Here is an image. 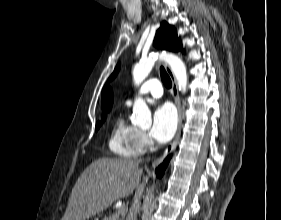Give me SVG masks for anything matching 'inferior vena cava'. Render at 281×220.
Segmentation results:
<instances>
[{"label":"inferior vena cava","mask_w":281,"mask_h":220,"mask_svg":"<svg viewBox=\"0 0 281 220\" xmlns=\"http://www.w3.org/2000/svg\"><path fill=\"white\" fill-rule=\"evenodd\" d=\"M144 190V186L141 185L140 187L137 188L136 192H135V196H134V201L132 203V206L129 210L128 216L126 218V220H136V216H137V212H138V208H139V203H140V199L142 196Z\"/></svg>","instance_id":"1"}]
</instances>
